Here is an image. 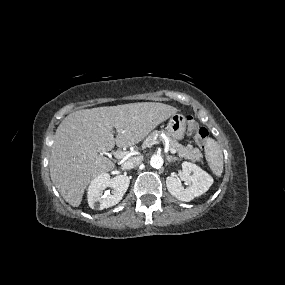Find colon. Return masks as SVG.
<instances>
[{"label":"colon","mask_w":285,"mask_h":285,"mask_svg":"<svg viewBox=\"0 0 285 285\" xmlns=\"http://www.w3.org/2000/svg\"><path fill=\"white\" fill-rule=\"evenodd\" d=\"M187 123V133L194 137L196 143L199 146L205 147L209 141L208 130L205 127L199 125L192 116H187Z\"/></svg>","instance_id":"colon-1"}]
</instances>
